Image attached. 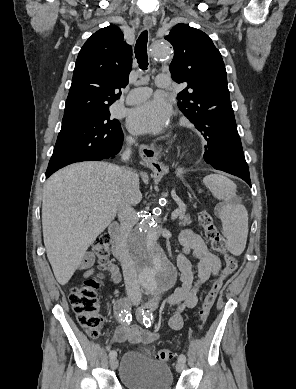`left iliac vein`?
Masks as SVG:
<instances>
[{
  "label": "left iliac vein",
  "instance_id": "4c4485c4",
  "mask_svg": "<svg viewBox=\"0 0 296 389\" xmlns=\"http://www.w3.org/2000/svg\"><path fill=\"white\" fill-rule=\"evenodd\" d=\"M185 369V362L178 361L176 365L177 372H182Z\"/></svg>",
  "mask_w": 296,
  "mask_h": 389
}]
</instances>
